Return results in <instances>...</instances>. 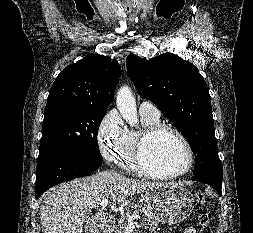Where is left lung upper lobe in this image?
I'll use <instances>...</instances> for the list:
<instances>
[{
    "label": "left lung upper lobe",
    "instance_id": "5c2ea615",
    "mask_svg": "<svg viewBox=\"0 0 253 233\" xmlns=\"http://www.w3.org/2000/svg\"><path fill=\"white\" fill-rule=\"evenodd\" d=\"M126 64L141 97L156 104L189 142L196 155L193 175L209 172L223 176L211 97L198 69L171 53L150 60L130 54Z\"/></svg>",
    "mask_w": 253,
    "mask_h": 233
}]
</instances>
